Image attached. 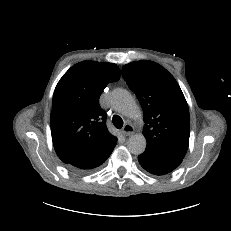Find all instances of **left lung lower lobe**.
Masks as SVG:
<instances>
[{"mask_svg": "<svg viewBox=\"0 0 231 231\" xmlns=\"http://www.w3.org/2000/svg\"><path fill=\"white\" fill-rule=\"evenodd\" d=\"M138 160L146 171L155 175L167 174L182 162V158H173L147 150L138 156Z\"/></svg>", "mask_w": 231, "mask_h": 231, "instance_id": "obj_1", "label": "left lung lower lobe"}]
</instances>
